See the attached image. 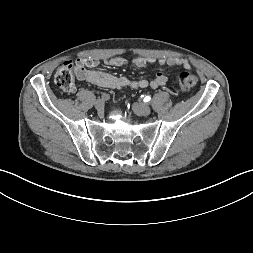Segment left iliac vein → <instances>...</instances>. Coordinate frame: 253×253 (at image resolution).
<instances>
[{
	"instance_id": "1",
	"label": "left iliac vein",
	"mask_w": 253,
	"mask_h": 253,
	"mask_svg": "<svg viewBox=\"0 0 253 253\" xmlns=\"http://www.w3.org/2000/svg\"><path fill=\"white\" fill-rule=\"evenodd\" d=\"M132 109L139 116H148L151 113V108L145 103H134Z\"/></svg>"
}]
</instances>
